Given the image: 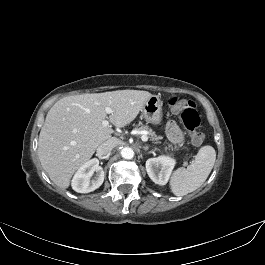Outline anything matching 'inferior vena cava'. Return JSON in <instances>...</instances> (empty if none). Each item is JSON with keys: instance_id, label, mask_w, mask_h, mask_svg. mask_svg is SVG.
<instances>
[{"instance_id": "1", "label": "inferior vena cava", "mask_w": 265, "mask_h": 265, "mask_svg": "<svg viewBox=\"0 0 265 265\" xmlns=\"http://www.w3.org/2000/svg\"><path fill=\"white\" fill-rule=\"evenodd\" d=\"M119 143V140L117 138H110L107 141L103 142L99 147L97 148V154L99 156L106 155L109 152L113 150Z\"/></svg>"}]
</instances>
